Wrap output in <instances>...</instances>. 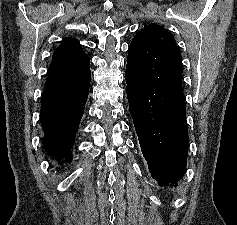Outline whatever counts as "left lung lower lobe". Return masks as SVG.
Here are the masks:
<instances>
[{
  "label": "left lung lower lobe",
  "instance_id": "1",
  "mask_svg": "<svg viewBox=\"0 0 237 225\" xmlns=\"http://www.w3.org/2000/svg\"><path fill=\"white\" fill-rule=\"evenodd\" d=\"M129 109L141 151L160 186H177L189 148L185 97L181 88H157L125 72Z\"/></svg>",
  "mask_w": 237,
  "mask_h": 225
}]
</instances>
